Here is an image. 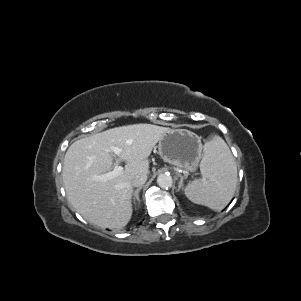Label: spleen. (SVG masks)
<instances>
[{
	"instance_id": "obj_1",
	"label": "spleen",
	"mask_w": 301,
	"mask_h": 301,
	"mask_svg": "<svg viewBox=\"0 0 301 301\" xmlns=\"http://www.w3.org/2000/svg\"><path fill=\"white\" fill-rule=\"evenodd\" d=\"M200 171L202 178L186 186V197L193 203L221 211L232 199L237 185L236 163L221 137L214 136L205 143Z\"/></svg>"
}]
</instances>
